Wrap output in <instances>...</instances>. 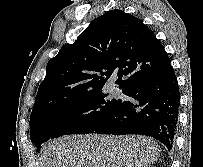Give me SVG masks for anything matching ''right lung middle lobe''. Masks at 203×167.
<instances>
[{
    "instance_id": "right-lung-middle-lobe-1",
    "label": "right lung middle lobe",
    "mask_w": 203,
    "mask_h": 167,
    "mask_svg": "<svg viewBox=\"0 0 203 167\" xmlns=\"http://www.w3.org/2000/svg\"><path fill=\"white\" fill-rule=\"evenodd\" d=\"M121 103V99H111L102 90L53 100L32 111L31 141L40 147L63 135L92 133Z\"/></svg>"
}]
</instances>
